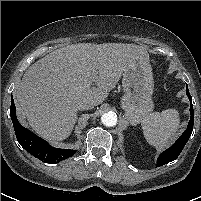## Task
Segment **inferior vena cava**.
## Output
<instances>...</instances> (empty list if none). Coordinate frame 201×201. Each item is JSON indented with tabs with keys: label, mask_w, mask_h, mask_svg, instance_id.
I'll return each instance as SVG.
<instances>
[{
	"label": "inferior vena cava",
	"mask_w": 201,
	"mask_h": 201,
	"mask_svg": "<svg viewBox=\"0 0 201 201\" xmlns=\"http://www.w3.org/2000/svg\"><path fill=\"white\" fill-rule=\"evenodd\" d=\"M94 107V103L92 101L84 100L78 104L79 110H88Z\"/></svg>",
	"instance_id": "602c4592"
}]
</instances>
